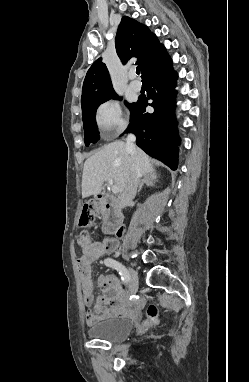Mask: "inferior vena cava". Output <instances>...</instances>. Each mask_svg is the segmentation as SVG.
I'll return each instance as SVG.
<instances>
[{
	"label": "inferior vena cava",
	"instance_id": "602c4592",
	"mask_svg": "<svg viewBox=\"0 0 249 382\" xmlns=\"http://www.w3.org/2000/svg\"><path fill=\"white\" fill-rule=\"evenodd\" d=\"M136 138L133 134H129L126 138V146L127 149L135 155L136 148L135 142ZM140 170L135 162H133L132 167L130 169L129 176L127 178L126 184L124 186L123 191L120 193L118 197V203L120 208H125L128 206L132 200L135 198L137 193L138 184L140 182Z\"/></svg>",
	"mask_w": 249,
	"mask_h": 382
}]
</instances>
